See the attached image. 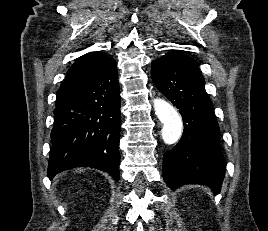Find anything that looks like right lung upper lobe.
Here are the masks:
<instances>
[{"mask_svg":"<svg viewBox=\"0 0 268 231\" xmlns=\"http://www.w3.org/2000/svg\"><path fill=\"white\" fill-rule=\"evenodd\" d=\"M111 59L101 52H89L81 56L68 70L63 86L57 93L66 94L73 85L97 73Z\"/></svg>","mask_w":268,"mask_h":231,"instance_id":"right-lung-upper-lobe-1","label":"right lung upper lobe"}]
</instances>
